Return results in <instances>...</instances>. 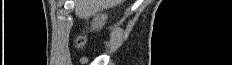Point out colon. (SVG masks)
Instances as JSON below:
<instances>
[{"label": "colon", "instance_id": "colon-1", "mask_svg": "<svg viewBox=\"0 0 232 65\" xmlns=\"http://www.w3.org/2000/svg\"><path fill=\"white\" fill-rule=\"evenodd\" d=\"M85 44V40L83 37H77L76 41H75V45L78 49L82 48Z\"/></svg>", "mask_w": 232, "mask_h": 65}]
</instances>
